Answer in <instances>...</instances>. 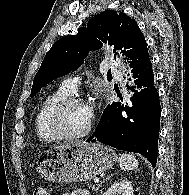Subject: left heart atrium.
Listing matches in <instances>:
<instances>
[{
    "label": "left heart atrium",
    "mask_w": 189,
    "mask_h": 195,
    "mask_svg": "<svg viewBox=\"0 0 189 195\" xmlns=\"http://www.w3.org/2000/svg\"><path fill=\"white\" fill-rule=\"evenodd\" d=\"M89 110H90V112H91V114H92L93 107H92V106H89Z\"/></svg>",
    "instance_id": "left-heart-atrium-1"
}]
</instances>
